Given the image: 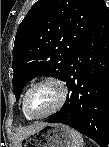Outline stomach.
<instances>
[{
	"label": "stomach",
	"mask_w": 109,
	"mask_h": 147,
	"mask_svg": "<svg viewBox=\"0 0 109 147\" xmlns=\"http://www.w3.org/2000/svg\"><path fill=\"white\" fill-rule=\"evenodd\" d=\"M72 129L63 124H47L20 141V147H72Z\"/></svg>",
	"instance_id": "1"
}]
</instances>
